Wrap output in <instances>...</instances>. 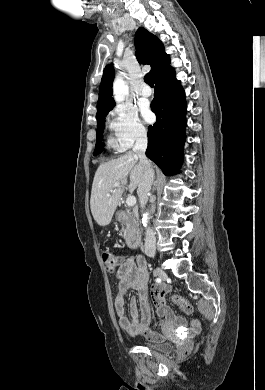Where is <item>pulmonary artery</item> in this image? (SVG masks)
<instances>
[{
  "instance_id": "1",
  "label": "pulmonary artery",
  "mask_w": 265,
  "mask_h": 390,
  "mask_svg": "<svg viewBox=\"0 0 265 390\" xmlns=\"http://www.w3.org/2000/svg\"><path fill=\"white\" fill-rule=\"evenodd\" d=\"M151 89L145 85V84H142L139 88V94L142 96V97H149L151 95Z\"/></svg>"
}]
</instances>
